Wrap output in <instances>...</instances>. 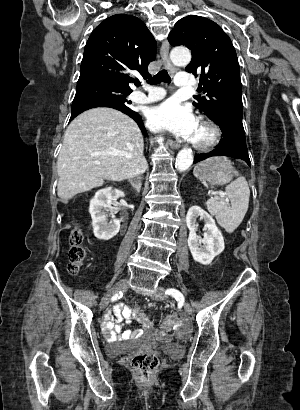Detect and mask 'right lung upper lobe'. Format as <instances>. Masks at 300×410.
<instances>
[{
    "label": "right lung upper lobe",
    "mask_w": 300,
    "mask_h": 410,
    "mask_svg": "<svg viewBox=\"0 0 300 410\" xmlns=\"http://www.w3.org/2000/svg\"><path fill=\"white\" fill-rule=\"evenodd\" d=\"M157 43L146 25L137 17L113 15L90 35L81 63L78 82H99L132 91L130 73L150 76L148 65L155 60Z\"/></svg>",
    "instance_id": "obj_1"
}]
</instances>
